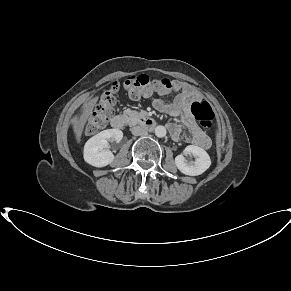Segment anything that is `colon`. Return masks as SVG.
<instances>
[{
	"instance_id": "obj_1",
	"label": "colon",
	"mask_w": 291,
	"mask_h": 291,
	"mask_svg": "<svg viewBox=\"0 0 291 291\" xmlns=\"http://www.w3.org/2000/svg\"><path fill=\"white\" fill-rule=\"evenodd\" d=\"M123 85L131 99H139L161 91L168 85V82L166 79L140 74L126 78ZM117 89V84H112L109 88L101 91L95 103L89 104L84 113V129L87 134H95L107 126L108 121L114 115ZM191 112L203 127H212L215 115L209 103L195 101L191 105Z\"/></svg>"
}]
</instances>
